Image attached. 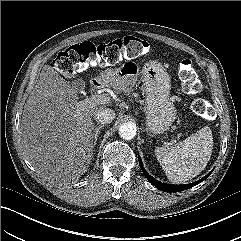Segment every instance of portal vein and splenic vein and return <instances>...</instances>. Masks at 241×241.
Instances as JSON below:
<instances>
[{
  "mask_svg": "<svg viewBox=\"0 0 241 241\" xmlns=\"http://www.w3.org/2000/svg\"><path fill=\"white\" fill-rule=\"evenodd\" d=\"M90 103L106 104L110 102V96L108 94L93 95L91 98L86 99Z\"/></svg>",
  "mask_w": 241,
  "mask_h": 241,
  "instance_id": "18ae733b",
  "label": "portal vein and splenic vein"
}]
</instances>
